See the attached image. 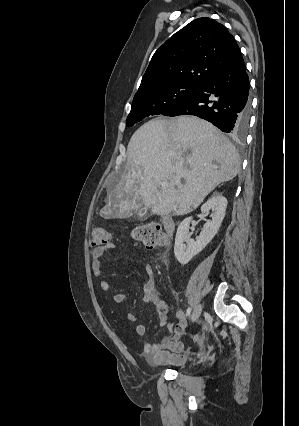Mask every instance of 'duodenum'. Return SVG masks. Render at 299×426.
Masks as SVG:
<instances>
[{"label":"duodenum","instance_id":"410a0bca","mask_svg":"<svg viewBox=\"0 0 299 426\" xmlns=\"http://www.w3.org/2000/svg\"><path fill=\"white\" fill-rule=\"evenodd\" d=\"M163 225H164V228L167 231V233H169V234L173 233V231L175 229V224H174V221L170 217L166 216V217L163 218Z\"/></svg>","mask_w":299,"mask_h":426}]
</instances>
